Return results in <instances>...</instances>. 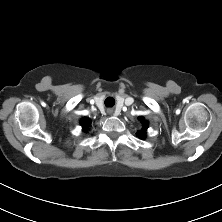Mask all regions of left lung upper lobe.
<instances>
[{
	"mask_svg": "<svg viewBox=\"0 0 222 222\" xmlns=\"http://www.w3.org/2000/svg\"><path fill=\"white\" fill-rule=\"evenodd\" d=\"M139 120H141V122L143 123V128H142L141 131L137 132V136L140 137V138H144L145 134H146V129H147V126H148V122L145 121L144 118H142V117H139Z\"/></svg>",
	"mask_w": 222,
	"mask_h": 222,
	"instance_id": "obj_1",
	"label": "left lung upper lobe"
}]
</instances>
